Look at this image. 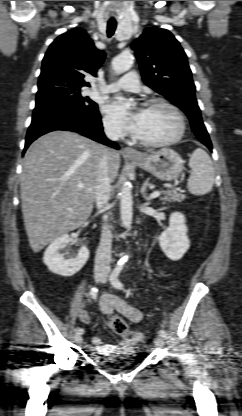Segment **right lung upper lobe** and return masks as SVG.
I'll return each instance as SVG.
<instances>
[{"label":"right lung upper lobe","instance_id":"right-lung-upper-lobe-1","mask_svg":"<svg viewBox=\"0 0 242 416\" xmlns=\"http://www.w3.org/2000/svg\"><path fill=\"white\" fill-rule=\"evenodd\" d=\"M104 58V51L96 49L85 30L76 28L60 35L43 58L37 96L89 86L84 77L95 76Z\"/></svg>","mask_w":242,"mask_h":416}]
</instances>
